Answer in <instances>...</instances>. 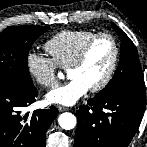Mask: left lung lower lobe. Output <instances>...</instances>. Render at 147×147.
Listing matches in <instances>:
<instances>
[{
  "mask_svg": "<svg viewBox=\"0 0 147 147\" xmlns=\"http://www.w3.org/2000/svg\"><path fill=\"white\" fill-rule=\"evenodd\" d=\"M146 107L145 95L123 92L95 96L76 111L74 147H128Z\"/></svg>",
  "mask_w": 147,
  "mask_h": 147,
  "instance_id": "obj_1",
  "label": "left lung lower lobe"
}]
</instances>
